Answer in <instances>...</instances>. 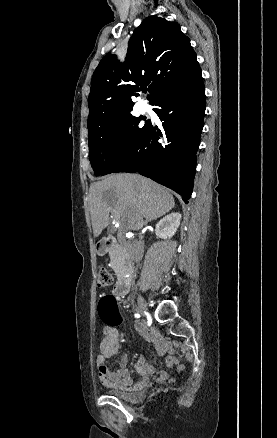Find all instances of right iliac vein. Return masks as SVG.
Listing matches in <instances>:
<instances>
[{
  "label": "right iliac vein",
  "instance_id": "right-iliac-vein-1",
  "mask_svg": "<svg viewBox=\"0 0 277 438\" xmlns=\"http://www.w3.org/2000/svg\"><path fill=\"white\" fill-rule=\"evenodd\" d=\"M138 308L141 312H143L145 314L148 313L147 305H146L144 299L141 297L138 298Z\"/></svg>",
  "mask_w": 277,
  "mask_h": 438
}]
</instances>
